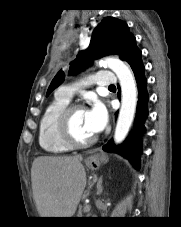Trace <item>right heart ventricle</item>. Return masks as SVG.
Here are the masks:
<instances>
[{"label":"right heart ventricle","instance_id":"obj_1","mask_svg":"<svg viewBox=\"0 0 181 227\" xmlns=\"http://www.w3.org/2000/svg\"><path fill=\"white\" fill-rule=\"evenodd\" d=\"M70 100L58 94L45 108L39 122V144L41 148L51 154L65 153L71 146L65 143L59 136L57 120L62 110Z\"/></svg>","mask_w":181,"mask_h":227}]
</instances>
